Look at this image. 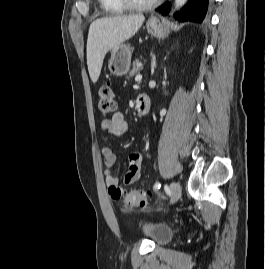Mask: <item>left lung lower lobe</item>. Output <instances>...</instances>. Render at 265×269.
Wrapping results in <instances>:
<instances>
[{
    "label": "left lung lower lobe",
    "instance_id": "0a47b994",
    "mask_svg": "<svg viewBox=\"0 0 265 269\" xmlns=\"http://www.w3.org/2000/svg\"><path fill=\"white\" fill-rule=\"evenodd\" d=\"M211 0H188L184 8L175 14V19L179 21H190L202 23L206 17ZM170 11V3L162 7L159 12L163 15Z\"/></svg>",
    "mask_w": 265,
    "mask_h": 269
}]
</instances>
